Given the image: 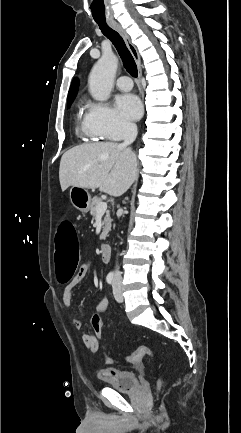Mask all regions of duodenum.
I'll return each mask as SVG.
<instances>
[{"label":"duodenum","instance_id":"410a0bca","mask_svg":"<svg viewBox=\"0 0 241 433\" xmlns=\"http://www.w3.org/2000/svg\"><path fill=\"white\" fill-rule=\"evenodd\" d=\"M101 258L104 262H108L111 257V245L104 243L100 246Z\"/></svg>","mask_w":241,"mask_h":433}]
</instances>
